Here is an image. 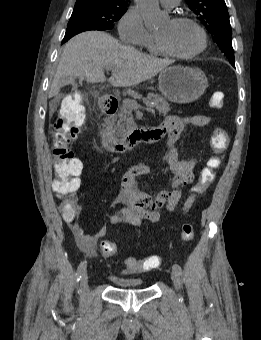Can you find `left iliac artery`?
I'll list each match as a JSON object with an SVG mask.
<instances>
[{
  "mask_svg": "<svg viewBox=\"0 0 261 340\" xmlns=\"http://www.w3.org/2000/svg\"><path fill=\"white\" fill-rule=\"evenodd\" d=\"M172 269L175 270L178 274H181L182 273V268L180 267V265L178 264H174L172 266Z\"/></svg>",
  "mask_w": 261,
  "mask_h": 340,
  "instance_id": "left-iliac-artery-1",
  "label": "left iliac artery"
}]
</instances>
